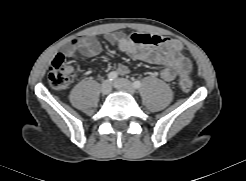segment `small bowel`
I'll return each mask as SVG.
<instances>
[{
	"label": "small bowel",
	"mask_w": 246,
	"mask_h": 181,
	"mask_svg": "<svg viewBox=\"0 0 246 181\" xmlns=\"http://www.w3.org/2000/svg\"><path fill=\"white\" fill-rule=\"evenodd\" d=\"M147 35L134 33L126 36L121 33H111L105 38L109 43L118 45L122 52L135 59L161 65L163 69L160 76L167 82L175 80L181 72L190 70V61L183 55V45L178 39L160 37V42L155 45L141 43L139 38ZM75 50H78L82 56L91 58L101 52L102 46L96 38L85 37L76 40L66 50V54L72 56ZM128 72L129 69L124 64H119L116 68V73L120 75Z\"/></svg>",
	"instance_id": "small-bowel-1"
}]
</instances>
